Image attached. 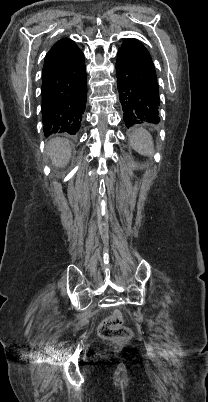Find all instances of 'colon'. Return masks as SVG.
<instances>
[{
  "instance_id": "5ec220e1",
  "label": "colon",
  "mask_w": 208,
  "mask_h": 402,
  "mask_svg": "<svg viewBox=\"0 0 208 402\" xmlns=\"http://www.w3.org/2000/svg\"><path fill=\"white\" fill-rule=\"evenodd\" d=\"M99 331L104 339L129 338L131 335L128 325L122 324V320L119 317L104 318L103 323L99 326Z\"/></svg>"
}]
</instances>
